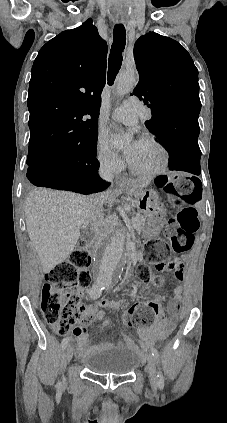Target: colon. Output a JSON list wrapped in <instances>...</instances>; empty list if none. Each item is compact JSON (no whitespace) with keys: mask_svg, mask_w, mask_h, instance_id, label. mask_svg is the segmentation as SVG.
<instances>
[{"mask_svg":"<svg viewBox=\"0 0 227 423\" xmlns=\"http://www.w3.org/2000/svg\"><path fill=\"white\" fill-rule=\"evenodd\" d=\"M156 185L164 191L170 203L179 208L177 216L169 220L167 231L174 252H186L192 247L194 234L199 229L196 203L200 199V184L191 177H163L156 181ZM143 258L154 266L155 272H170L174 280H182L183 263L179 258L169 256L163 241L146 242ZM89 266L90 257L81 248L74 250L68 260L56 265L46 275L40 298L41 311L45 321L60 334L75 329L83 320L85 307L79 290L89 283ZM138 276L146 286L162 280L146 265L138 269ZM160 311V299L157 297L133 305L124 314V321L130 327L145 328L152 324Z\"/></svg>","mask_w":227,"mask_h":423,"instance_id":"colon-1","label":"colon"}]
</instances>
